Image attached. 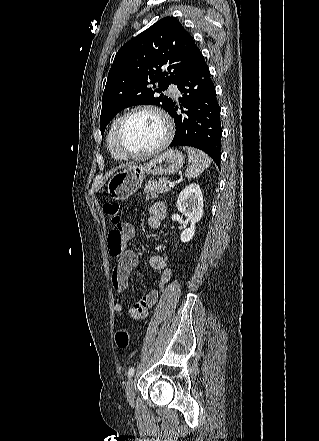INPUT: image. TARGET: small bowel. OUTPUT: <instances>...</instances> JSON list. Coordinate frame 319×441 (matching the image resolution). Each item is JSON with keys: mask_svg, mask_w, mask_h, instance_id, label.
<instances>
[{"mask_svg": "<svg viewBox=\"0 0 319 441\" xmlns=\"http://www.w3.org/2000/svg\"><path fill=\"white\" fill-rule=\"evenodd\" d=\"M165 216L166 206L163 202L152 204L148 209V225L152 229H159ZM134 233L135 230L131 224L122 223L116 226L108 237L109 253L117 258L112 272V286L119 295L127 289L130 274L138 264L137 253L127 246L129 240L134 237ZM149 263L154 270L162 271L159 287H164L171 277V271L167 267L165 258L160 254H155L150 257ZM158 296V289H153L141 297L129 309L131 318L134 320L145 319L149 310L156 304ZM114 312L118 315L124 312V302L120 297L114 304Z\"/></svg>", "mask_w": 319, "mask_h": 441, "instance_id": "small-bowel-1", "label": "small bowel"}]
</instances>
